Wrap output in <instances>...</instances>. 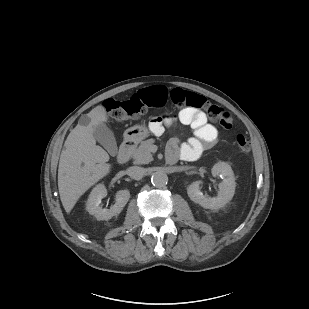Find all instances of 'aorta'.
Returning <instances> with one entry per match:
<instances>
[{"label": "aorta", "mask_w": 309, "mask_h": 309, "mask_svg": "<svg viewBox=\"0 0 309 309\" xmlns=\"http://www.w3.org/2000/svg\"><path fill=\"white\" fill-rule=\"evenodd\" d=\"M151 182L157 188L164 187L168 182V176L164 172H155L152 174Z\"/></svg>", "instance_id": "obj_1"}]
</instances>
